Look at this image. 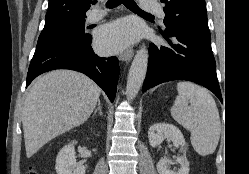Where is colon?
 <instances>
[{
	"mask_svg": "<svg viewBox=\"0 0 249 174\" xmlns=\"http://www.w3.org/2000/svg\"><path fill=\"white\" fill-rule=\"evenodd\" d=\"M28 174H37V172H36L35 169L30 168V169L28 170Z\"/></svg>",
	"mask_w": 249,
	"mask_h": 174,
	"instance_id": "1",
	"label": "colon"
}]
</instances>
